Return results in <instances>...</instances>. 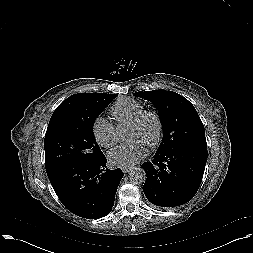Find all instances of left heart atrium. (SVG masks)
Returning <instances> with one entry per match:
<instances>
[{"instance_id": "obj_1", "label": "left heart atrium", "mask_w": 253, "mask_h": 253, "mask_svg": "<svg viewBox=\"0 0 253 253\" xmlns=\"http://www.w3.org/2000/svg\"><path fill=\"white\" fill-rule=\"evenodd\" d=\"M146 152L147 147L142 141L131 139L126 143L115 146L108 153V159L113 166L129 167L143 158Z\"/></svg>"}]
</instances>
